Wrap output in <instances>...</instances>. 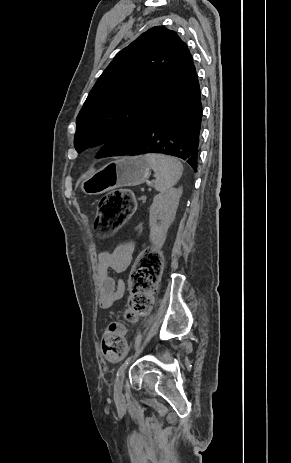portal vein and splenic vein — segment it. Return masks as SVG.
<instances>
[{
    "label": "portal vein and splenic vein",
    "mask_w": 291,
    "mask_h": 463,
    "mask_svg": "<svg viewBox=\"0 0 291 463\" xmlns=\"http://www.w3.org/2000/svg\"><path fill=\"white\" fill-rule=\"evenodd\" d=\"M149 185L151 186V185H152V183L150 182V183H149Z\"/></svg>",
    "instance_id": "obj_1"
}]
</instances>
